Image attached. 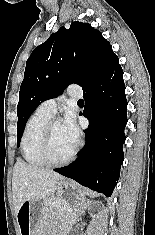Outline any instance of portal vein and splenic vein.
Wrapping results in <instances>:
<instances>
[{
    "mask_svg": "<svg viewBox=\"0 0 155 235\" xmlns=\"http://www.w3.org/2000/svg\"><path fill=\"white\" fill-rule=\"evenodd\" d=\"M68 211H69V212H73V209H72V208H68Z\"/></svg>",
    "mask_w": 155,
    "mask_h": 235,
    "instance_id": "obj_1",
    "label": "portal vein and splenic vein"
}]
</instances>
